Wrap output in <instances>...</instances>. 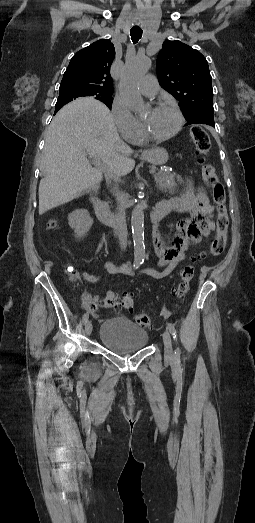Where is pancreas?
I'll use <instances>...</instances> for the list:
<instances>
[{
  "mask_svg": "<svg viewBox=\"0 0 255 523\" xmlns=\"http://www.w3.org/2000/svg\"><path fill=\"white\" fill-rule=\"evenodd\" d=\"M155 182L157 184L158 190L161 192H168V194H175V178L177 182H182V178L177 176V174H170V172H164V170H157V174L154 175ZM115 182H120L119 178H113Z\"/></svg>",
  "mask_w": 255,
  "mask_h": 523,
  "instance_id": "cf45deb5",
  "label": "pancreas"
}]
</instances>
